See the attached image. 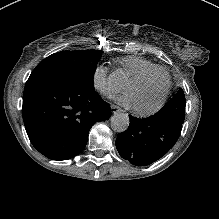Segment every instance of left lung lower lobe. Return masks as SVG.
<instances>
[{
	"mask_svg": "<svg viewBox=\"0 0 219 219\" xmlns=\"http://www.w3.org/2000/svg\"><path fill=\"white\" fill-rule=\"evenodd\" d=\"M129 128L116 139L119 154L132 164L147 165L162 157L177 141L182 124L168 118L130 117Z\"/></svg>",
	"mask_w": 219,
	"mask_h": 219,
	"instance_id": "left-lung-lower-lobe-1",
	"label": "left lung lower lobe"
}]
</instances>
